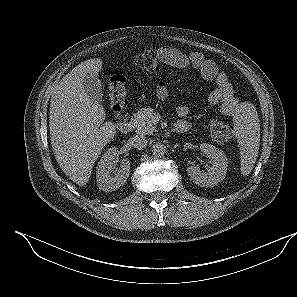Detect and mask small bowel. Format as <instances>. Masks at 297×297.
<instances>
[{"label":"small bowel","mask_w":297,"mask_h":297,"mask_svg":"<svg viewBox=\"0 0 297 297\" xmlns=\"http://www.w3.org/2000/svg\"><path fill=\"white\" fill-rule=\"evenodd\" d=\"M159 58L168 65L178 68H194L207 81H215L217 88L208 97L210 105H219L221 112L230 117H236L241 111V102L235 96L233 87L226 75L220 70L217 64L206 58L201 52H182L172 47H161L157 50ZM157 96L165 100L168 96V84L165 81L159 82ZM180 121L188 124L189 110L187 107L178 108Z\"/></svg>","instance_id":"1"}]
</instances>
